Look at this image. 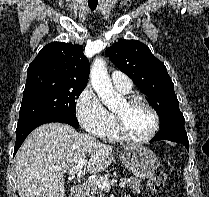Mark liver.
I'll list each match as a JSON object with an SVG mask.
<instances>
[{
	"label": "liver",
	"mask_w": 209,
	"mask_h": 197,
	"mask_svg": "<svg viewBox=\"0 0 209 197\" xmlns=\"http://www.w3.org/2000/svg\"><path fill=\"white\" fill-rule=\"evenodd\" d=\"M112 150L68 124L41 125L30 133L15 157L19 196L65 197L64 173L82 159L89 173L104 171L113 161Z\"/></svg>",
	"instance_id": "1"
}]
</instances>
